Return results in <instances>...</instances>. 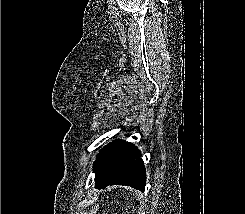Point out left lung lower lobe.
<instances>
[{"label":"left lung lower lobe","instance_id":"1","mask_svg":"<svg viewBox=\"0 0 245 214\" xmlns=\"http://www.w3.org/2000/svg\"><path fill=\"white\" fill-rule=\"evenodd\" d=\"M95 187L126 185L144 191L146 174L140 150L133 144L116 139L105 146L93 165Z\"/></svg>","mask_w":245,"mask_h":214}]
</instances>
